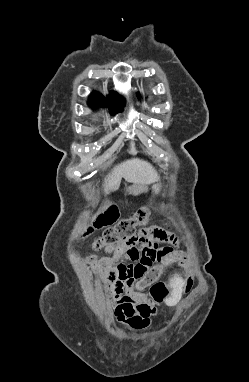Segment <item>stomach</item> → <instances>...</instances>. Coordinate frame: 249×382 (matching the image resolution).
<instances>
[{
	"label": "stomach",
	"instance_id": "obj_1",
	"mask_svg": "<svg viewBox=\"0 0 249 382\" xmlns=\"http://www.w3.org/2000/svg\"><path fill=\"white\" fill-rule=\"evenodd\" d=\"M152 189L157 194L160 191V185L159 184H155V185H153ZM127 190H128V192L130 194L139 195L141 193L147 192L148 188H147L146 185L145 186L132 185Z\"/></svg>",
	"mask_w": 249,
	"mask_h": 382
}]
</instances>
